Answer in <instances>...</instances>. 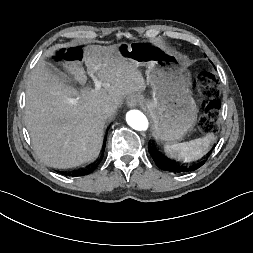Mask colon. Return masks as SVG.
Instances as JSON below:
<instances>
[{
  "instance_id": "colon-1",
  "label": "colon",
  "mask_w": 253,
  "mask_h": 253,
  "mask_svg": "<svg viewBox=\"0 0 253 253\" xmlns=\"http://www.w3.org/2000/svg\"><path fill=\"white\" fill-rule=\"evenodd\" d=\"M82 55L83 51L80 47H71L56 52V59L69 62L79 61L82 59ZM197 88L205 101L204 113L199 120V128L206 134L215 132L220 112V105L217 101L218 84L211 73L203 72L197 78Z\"/></svg>"
}]
</instances>
